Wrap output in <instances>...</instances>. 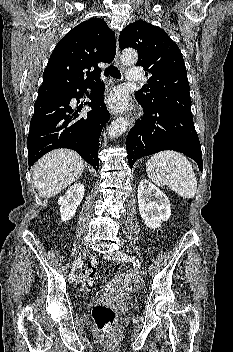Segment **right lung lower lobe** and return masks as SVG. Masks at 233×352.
<instances>
[{"instance_id": "right-lung-lower-lobe-1", "label": "right lung lower lobe", "mask_w": 233, "mask_h": 352, "mask_svg": "<svg viewBox=\"0 0 233 352\" xmlns=\"http://www.w3.org/2000/svg\"><path fill=\"white\" fill-rule=\"evenodd\" d=\"M88 88L92 89L91 101L85 105L92 110L80 112L82 105L75 110L71 100L76 98L79 103ZM103 93V83L93 81L73 88L65 97L37 99L27 138L29 165L53 149L68 148L98 171V141L110 117Z\"/></svg>"}]
</instances>
